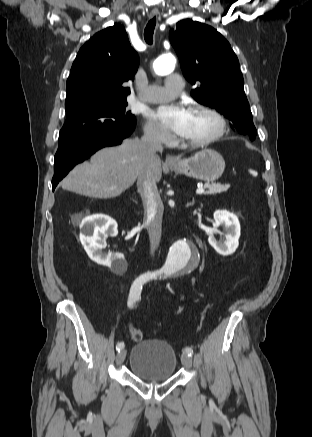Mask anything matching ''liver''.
<instances>
[{"label":"liver","instance_id":"6515ba94","mask_svg":"<svg viewBox=\"0 0 312 437\" xmlns=\"http://www.w3.org/2000/svg\"><path fill=\"white\" fill-rule=\"evenodd\" d=\"M147 167L141 140L128 138L119 146L99 150L89 162L77 165L62 180L61 187L91 198H113L132 186ZM151 170L159 182L162 168L158 156Z\"/></svg>","mask_w":312,"mask_h":437}]
</instances>
